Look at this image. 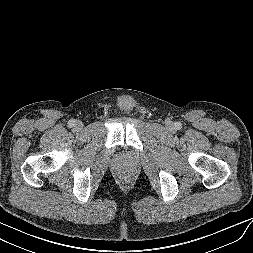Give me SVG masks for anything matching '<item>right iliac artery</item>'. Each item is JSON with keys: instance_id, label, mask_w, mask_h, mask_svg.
Wrapping results in <instances>:
<instances>
[{"instance_id": "1", "label": "right iliac artery", "mask_w": 253, "mask_h": 253, "mask_svg": "<svg viewBox=\"0 0 253 253\" xmlns=\"http://www.w3.org/2000/svg\"><path fill=\"white\" fill-rule=\"evenodd\" d=\"M69 127H73L75 125V120L71 119L69 122Z\"/></svg>"}]
</instances>
